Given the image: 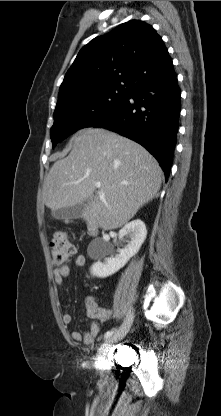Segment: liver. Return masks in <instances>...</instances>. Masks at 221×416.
<instances>
[{
  "instance_id": "6515ba94",
  "label": "liver",
  "mask_w": 221,
  "mask_h": 416,
  "mask_svg": "<svg viewBox=\"0 0 221 416\" xmlns=\"http://www.w3.org/2000/svg\"><path fill=\"white\" fill-rule=\"evenodd\" d=\"M72 142L70 154L53 164L44 181L43 201L52 211L87 201L82 218L111 230L160 190L162 170L140 144L103 128L80 130Z\"/></svg>"
}]
</instances>
